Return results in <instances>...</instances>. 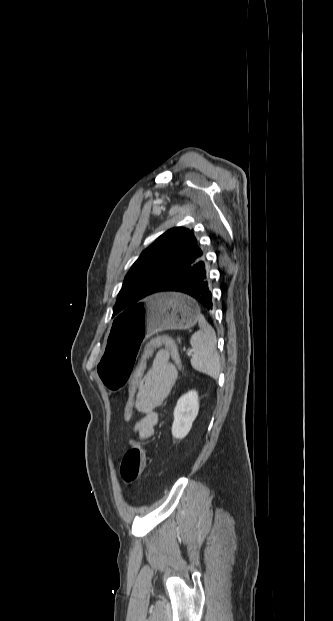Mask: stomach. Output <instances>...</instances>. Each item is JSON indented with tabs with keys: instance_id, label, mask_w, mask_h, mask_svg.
<instances>
[{
	"instance_id": "stomach-1",
	"label": "stomach",
	"mask_w": 333,
	"mask_h": 621,
	"mask_svg": "<svg viewBox=\"0 0 333 621\" xmlns=\"http://www.w3.org/2000/svg\"><path fill=\"white\" fill-rule=\"evenodd\" d=\"M202 317L197 304L177 293L151 296L113 321L98 373L107 391H123L142 354L144 338L167 329H188Z\"/></svg>"
}]
</instances>
